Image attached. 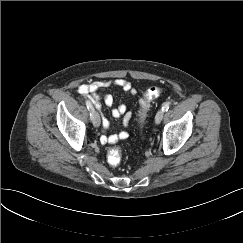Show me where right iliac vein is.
<instances>
[{"label": "right iliac vein", "instance_id": "63e3f726", "mask_svg": "<svg viewBox=\"0 0 243 243\" xmlns=\"http://www.w3.org/2000/svg\"><path fill=\"white\" fill-rule=\"evenodd\" d=\"M91 119H92V123L95 127H99L100 126V116L98 114L97 111H95L94 109L91 111Z\"/></svg>", "mask_w": 243, "mask_h": 243}]
</instances>
